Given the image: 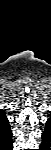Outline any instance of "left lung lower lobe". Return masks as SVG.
Returning <instances> with one entry per match:
<instances>
[{"instance_id":"obj_1","label":"left lung lower lobe","mask_w":51,"mask_h":150,"mask_svg":"<svg viewBox=\"0 0 51 150\" xmlns=\"http://www.w3.org/2000/svg\"><path fill=\"white\" fill-rule=\"evenodd\" d=\"M48 124H51V122ZM42 139L43 140L41 143V147L43 148V147L47 146L49 144V142L51 141V131H44L42 133Z\"/></svg>"}]
</instances>
